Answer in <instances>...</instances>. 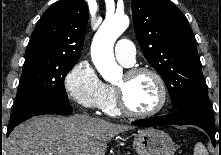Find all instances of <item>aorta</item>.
Listing matches in <instances>:
<instances>
[{
    "label": "aorta",
    "mask_w": 221,
    "mask_h": 155,
    "mask_svg": "<svg viewBox=\"0 0 221 155\" xmlns=\"http://www.w3.org/2000/svg\"><path fill=\"white\" fill-rule=\"evenodd\" d=\"M128 26L129 18L126 15L108 17L93 38L91 45L93 63L108 82H113L119 78L121 68L115 61L113 46Z\"/></svg>",
    "instance_id": "762f6f07"
}]
</instances>
